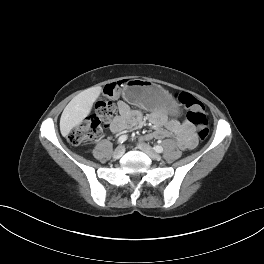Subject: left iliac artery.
I'll return each mask as SVG.
<instances>
[{
	"label": "left iliac artery",
	"instance_id": "44dca946",
	"mask_svg": "<svg viewBox=\"0 0 264 264\" xmlns=\"http://www.w3.org/2000/svg\"><path fill=\"white\" fill-rule=\"evenodd\" d=\"M154 150H155L156 152H158V153H162V152H163V148H162V146H159V145L154 146Z\"/></svg>",
	"mask_w": 264,
	"mask_h": 264
}]
</instances>
